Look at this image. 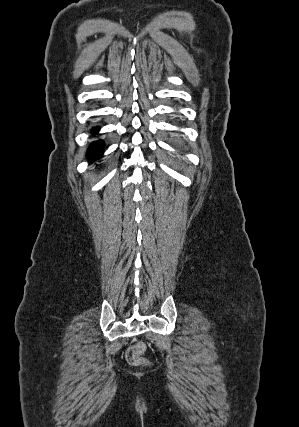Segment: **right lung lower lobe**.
<instances>
[{
  "instance_id": "98d812e1",
  "label": "right lung lower lobe",
  "mask_w": 299,
  "mask_h": 427,
  "mask_svg": "<svg viewBox=\"0 0 299 427\" xmlns=\"http://www.w3.org/2000/svg\"><path fill=\"white\" fill-rule=\"evenodd\" d=\"M97 129H94L93 132H97ZM103 153V143L101 141L93 143L88 151V156L90 160H95L101 157Z\"/></svg>"
}]
</instances>
